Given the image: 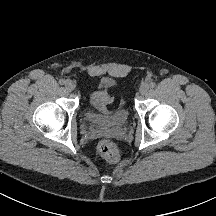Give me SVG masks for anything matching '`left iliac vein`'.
<instances>
[{
	"label": "left iliac vein",
	"mask_w": 216,
	"mask_h": 216,
	"mask_svg": "<svg viewBox=\"0 0 216 216\" xmlns=\"http://www.w3.org/2000/svg\"><path fill=\"white\" fill-rule=\"evenodd\" d=\"M148 90H149V85L143 84L140 86L139 92H140V94L144 95L148 92Z\"/></svg>",
	"instance_id": "obj_1"
}]
</instances>
